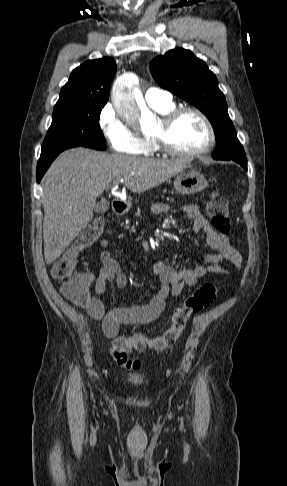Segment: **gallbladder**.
<instances>
[{
    "mask_svg": "<svg viewBox=\"0 0 287 486\" xmlns=\"http://www.w3.org/2000/svg\"><path fill=\"white\" fill-rule=\"evenodd\" d=\"M108 209V204L105 202H100L95 207V212L97 213H104Z\"/></svg>",
    "mask_w": 287,
    "mask_h": 486,
    "instance_id": "obj_1",
    "label": "gallbladder"
}]
</instances>
